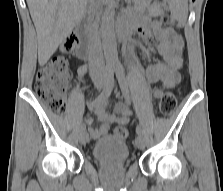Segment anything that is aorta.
I'll return each instance as SVG.
<instances>
[{"instance_id": "762f6f07", "label": "aorta", "mask_w": 223, "mask_h": 191, "mask_svg": "<svg viewBox=\"0 0 223 191\" xmlns=\"http://www.w3.org/2000/svg\"><path fill=\"white\" fill-rule=\"evenodd\" d=\"M115 7L113 3L105 8L101 22V40L105 60L108 66L119 64L117 44L114 32Z\"/></svg>"}]
</instances>
